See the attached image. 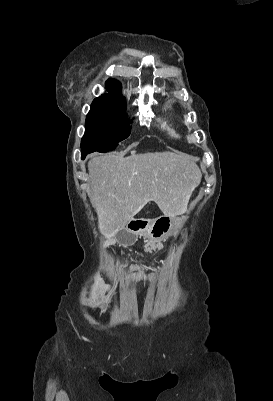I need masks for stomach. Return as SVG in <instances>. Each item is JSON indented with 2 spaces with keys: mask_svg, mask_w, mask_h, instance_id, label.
Returning a JSON list of instances; mask_svg holds the SVG:
<instances>
[{
  "mask_svg": "<svg viewBox=\"0 0 273 401\" xmlns=\"http://www.w3.org/2000/svg\"><path fill=\"white\" fill-rule=\"evenodd\" d=\"M187 217H157L148 221L145 229H142L141 235L151 239V241H163L167 237H177L185 223Z\"/></svg>",
  "mask_w": 273,
  "mask_h": 401,
  "instance_id": "stomach-1",
  "label": "stomach"
}]
</instances>
